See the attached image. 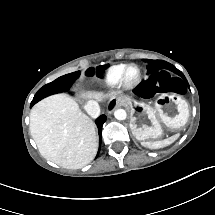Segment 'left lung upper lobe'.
I'll return each instance as SVG.
<instances>
[{"label": "left lung upper lobe", "instance_id": "left-lung-upper-lobe-1", "mask_svg": "<svg viewBox=\"0 0 215 215\" xmlns=\"http://www.w3.org/2000/svg\"><path fill=\"white\" fill-rule=\"evenodd\" d=\"M144 61L148 63L147 69L149 74L168 69L180 75V72L176 68L163 60L144 59Z\"/></svg>", "mask_w": 215, "mask_h": 215}]
</instances>
